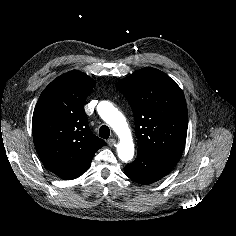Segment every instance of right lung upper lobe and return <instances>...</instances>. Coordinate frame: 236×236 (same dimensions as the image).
Wrapping results in <instances>:
<instances>
[{
    "mask_svg": "<svg viewBox=\"0 0 236 236\" xmlns=\"http://www.w3.org/2000/svg\"><path fill=\"white\" fill-rule=\"evenodd\" d=\"M95 81L72 70L41 93L32 118L33 140L45 167L63 179L85 172L106 142L87 124L84 102Z\"/></svg>",
    "mask_w": 236,
    "mask_h": 236,
    "instance_id": "right-lung-upper-lobe-1",
    "label": "right lung upper lobe"
}]
</instances>
